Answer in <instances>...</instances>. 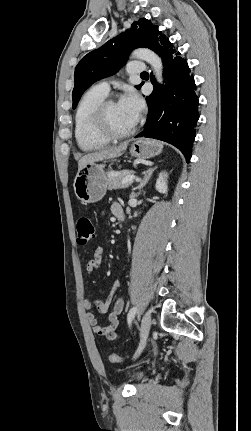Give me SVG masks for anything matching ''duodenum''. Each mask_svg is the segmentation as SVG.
<instances>
[{
    "instance_id": "1",
    "label": "duodenum",
    "mask_w": 251,
    "mask_h": 431,
    "mask_svg": "<svg viewBox=\"0 0 251 431\" xmlns=\"http://www.w3.org/2000/svg\"><path fill=\"white\" fill-rule=\"evenodd\" d=\"M124 212H119L118 214H117V218H118V220L119 221H123L124 220Z\"/></svg>"
}]
</instances>
